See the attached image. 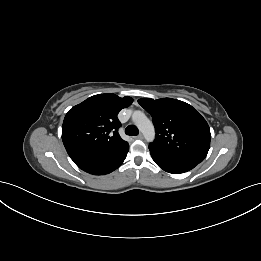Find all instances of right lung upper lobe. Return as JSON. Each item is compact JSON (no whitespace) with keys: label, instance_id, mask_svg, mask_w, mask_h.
I'll list each match as a JSON object with an SVG mask.
<instances>
[{"label":"right lung upper lobe","instance_id":"obj_1","mask_svg":"<svg viewBox=\"0 0 261 261\" xmlns=\"http://www.w3.org/2000/svg\"><path fill=\"white\" fill-rule=\"evenodd\" d=\"M131 97L98 94L74 106L65 116L62 140L70 157L91 152H118L128 143L118 134V113L131 105Z\"/></svg>","mask_w":261,"mask_h":261}]
</instances>
